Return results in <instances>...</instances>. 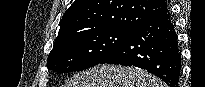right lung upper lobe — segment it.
I'll list each match as a JSON object with an SVG mask.
<instances>
[{
  "mask_svg": "<svg viewBox=\"0 0 205 87\" xmlns=\"http://www.w3.org/2000/svg\"><path fill=\"white\" fill-rule=\"evenodd\" d=\"M166 11L165 0H75L61 19L55 42L100 29L134 31Z\"/></svg>",
  "mask_w": 205,
  "mask_h": 87,
  "instance_id": "obj_1",
  "label": "right lung upper lobe"
}]
</instances>
